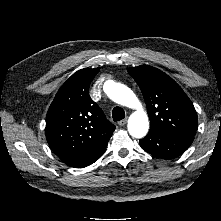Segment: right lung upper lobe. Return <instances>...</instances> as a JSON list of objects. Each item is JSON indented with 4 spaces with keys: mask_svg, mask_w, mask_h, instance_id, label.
I'll return each mask as SVG.
<instances>
[{
    "mask_svg": "<svg viewBox=\"0 0 221 221\" xmlns=\"http://www.w3.org/2000/svg\"><path fill=\"white\" fill-rule=\"evenodd\" d=\"M99 68L74 73L57 92L46 116V139L66 164L82 168L96 161L115 130L88 91Z\"/></svg>",
    "mask_w": 221,
    "mask_h": 221,
    "instance_id": "obj_1",
    "label": "right lung upper lobe"
}]
</instances>
